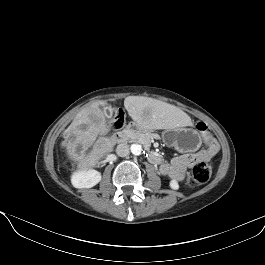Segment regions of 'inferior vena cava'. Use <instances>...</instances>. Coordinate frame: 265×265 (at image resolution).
Returning a JSON list of instances; mask_svg holds the SVG:
<instances>
[{
	"instance_id": "inferior-vena-cava-1",
	"label": "inferior vena cava",
	"mask_w": 265,
	"mask_h": 265,
	"mask_svg": "<svg viewBox=\"0 0 265 265\" xmlns=\"http://www.w3.org/2000/svg\"><path fill=\"white\" fill-rule=\"evenodd\" d=\"M116 153L120 157H126L129 154V145L127 143H121L116 148Z\"/></svg>"
}]
</instances>
